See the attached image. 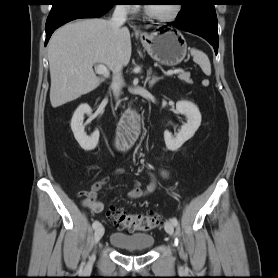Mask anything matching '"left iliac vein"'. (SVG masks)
<instances>
[{"mask_svg":"<svg viewBox=\"0 0 278 278\" xmlns=\"http://www.w3.org/2000/svg\"><path fill=\"white\" fill-rule=\"evenodd\" d=\"M165 231L172 236L174 232V225L171 221H166L164 225Z\"/></svg>","mask_w":278,"mask_h":278,"instance_id":"obj_1","label":"left iliac vein"}]
</instances>
